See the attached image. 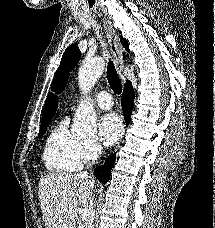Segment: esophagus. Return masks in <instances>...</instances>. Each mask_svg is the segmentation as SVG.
Returning <instances> with one entry per match:
<instances>
[{"label": "esophagus", "mask_w": 215, "mask_h": 228, "mask_svg": "<svg viewBox=\"0 0 215 228\" xmlns=\"http://www.w3.org/2000/svg\"><path fill=\"white\" fill-rule=\"evenodd\" d=\"M100 17L102 18V22L104 24L106 36L108 39L109 48H110L113 60L115 62L117 72L121 78V81L125 82L126 76L123 74L124 62H123L121 45H120L119 39L117 37V34H116L110 20L106 19L102 15H100Z\"/></svg>", "instance_id": "34e87169"}]
</instances>
